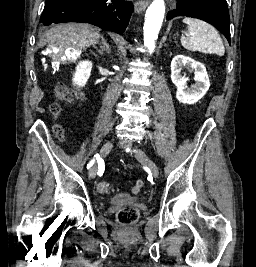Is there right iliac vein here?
I'll list each match as a JSON object with an SVG mask.
<instances>
[{
    "label": "right iliac vein",
    "mask_w": 256,
    "mask_h": 267,
    "mask_svg": "<svg viewBox=\"0 0 256 267\" xmlns=\"http://www.w3.org/2000/svg\"><path fill=\"white\" fill-rule=\"evenodd\" d=\"M112 145H113L112 141H107L106 143H104L103 146L101 147L100 155L104 156L105 154H107L112 148ZM96 175H97V164H94L89 170V177L93 179L96 177Z\"/></svg>",
    "instance_id": "right-iliac-vein-1"
}]
</instances>
